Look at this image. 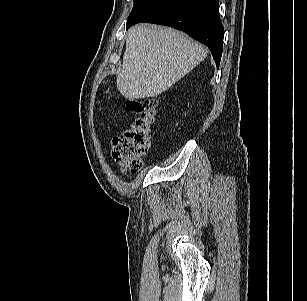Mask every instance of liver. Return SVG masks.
<instances>
[{"label":"liver","mask_w":307,"mask_h":301,"mask_svg":"<svg viewBox=\"0 0 307 301\" xmlns=\"http://www.w3.org/2000/svg\"><path fill=\"white\" fill-rule=\"evenodd\" d=\"M208 50L168 27L139 24L130 29L117 89L126 98L155 97L203 61Z\"/></svg>","instance_id":"obj_1"}]
</instances>
